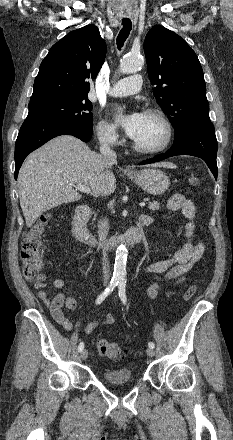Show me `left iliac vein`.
<instances>
[{"mask_svg": "<svg viewBox=\"0 0 233 440\" xmlns=\"http://www.w3.org/2000/svg\"><path fill=\"white\" fill-rule=\"evenodd\" d=\"M146 353L149 357H153L155 355V351L153 348H147Z\"/></svg>", "mask_w": 233, "mask_h": 440, "instance_id": "left-iliac-vein-1", "label": "left iliac vein"}]
</instances>
